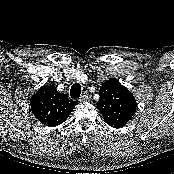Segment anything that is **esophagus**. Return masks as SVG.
<instances>
[{"label": "esophagus", "mask_w": 174, "mask_h": 174, "mask_svg": "<svg viewBox=\"0 0 174 174\" xmlns=\"http://www.w3.org/2000/svg\"><path fill=\"white\" fill-rule=\"evenodd\" d=\"M88 99V95L87 93H84L81 95V97L79 98V101L80 102H83V101H86Z\"/></svg>", "instance_id": "obj_1"}]
</instances>
